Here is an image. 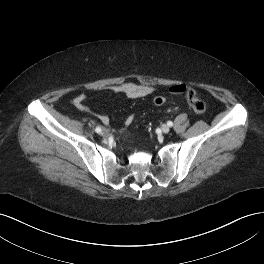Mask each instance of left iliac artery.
<instances>
[{
	"label": "left iliac artery",
	"mask_w": 264,
	"mask_h": 264,
	"mask_svg": "<svg viewBox=\"0 0 264 264\" xmlns=\"http://www.w3.org/2000/svg\"><path fill=\"white\" fill-rule=\"evenodd\" d=\"M167 125L171 127V126H173V122L172 121H168Z\"/></svg>",
	"instance_id": "1"
}]
</instances>
